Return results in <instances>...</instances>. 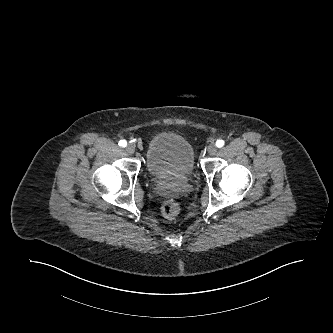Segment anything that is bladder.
<instances>
[{"instance_id":"obj_1","label":"bladder","mask_w":333,"mask_h":333,"mask_svg":"<svg viewBox=\"0 0 333 333\" xmlns=\"http://www.w3.org/2000/svg\"><path fill=\"white\" fill-rule=\"evenodd\" d=\"M146 168L155 180L191 178L195 169L191 144L174 132L157 133L147 146Z\"/></svg>"}]
</instances>
